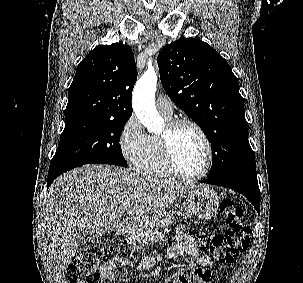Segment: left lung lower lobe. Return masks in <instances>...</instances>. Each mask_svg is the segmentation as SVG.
Segmentation results:
<instances>
[{"label": "left lung lower lobe", "mask_w": 303, "mask_h": 283, "mask_svg": "<svg viewBox=\"0 0 303 283\" xmlns=\"http://www.w3.org/2000/svg\"><path fill=\"white\" fill-rule=\"evenodd\" d=\"M203 183L227 187L243 194L260 211V191L256 168L246 169L223 177L208 178Z\"/></svg>", "instance_id": "1"}]
</instances>
